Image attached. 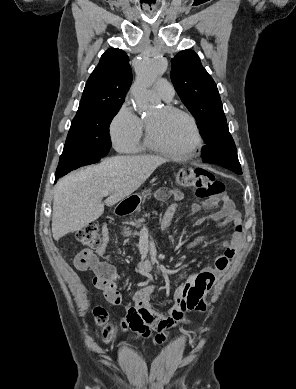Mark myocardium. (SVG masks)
<instances>
[{
  "label": "myocardium",
  "mask_w": 296,
  "mask_h": 389,
  "mask_svg": "<svg viewBox=\"0 0 296 389\" xmlns=\"http://www.w3.org/2000/svg\"><path fill=\"white\" fill-rule=\"evenodd\" d=\"M163 109L167 113L181 115V116L185 117L190 122L192 130H193V136H194L193 141L188 148H186L185 150H182V151H174V150L168 149L166 147H163L154 140L151 129H150L148 123L146 122V142H147V145L155 152H158L160 154L166 155V156L171 157V158L188 159V158L192 157L196 153V151L199 149V147L202 143V135H201V131H200V128H199V125H198L196 118L188 111H186L182 108L173 106V105H166L163 107Z\"/></svg>",
  "instance_id": "f54148a6"
}]
</instances>
